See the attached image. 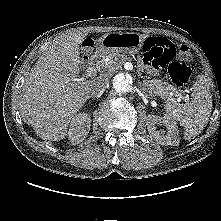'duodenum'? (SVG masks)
<instances>
[{
    "mask_svg": "<svg viewBox=\"0 0 221 221\" xmlns=\"http://www.w3.org/2000/svg\"><path fill=\"white\" fill-rule=\"evenodd\" d=\"M101 58L100 53H96L91 56V58L86 60V68L90 74H93L96 70L97 64Z\"/></svg>",
    "mask_w": 221,
    "mask_h": 221,
    "instance_id": "obj_1",
    "label": "duodenum"
}]
</instances>
